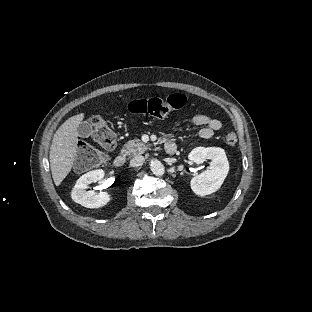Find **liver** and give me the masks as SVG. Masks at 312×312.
I'll use <instances>...</instances> for the list:
<instances>
[{"instance_id": "1", "label": "liver", "mask_w": 312, "mask_h": 312, "mask_svg": "<svg viewBox=\"0 0 312 312\" xmlns=\"http://www.w3.org/2000/svg\"><path fill=\"white\" fill-rule=\"evenodd\" d=\"M84 114L67 119L56 131L50 147V168L56 186L66 178L72 169L78 142V126Z\"/></svg>"}]
</instances>
